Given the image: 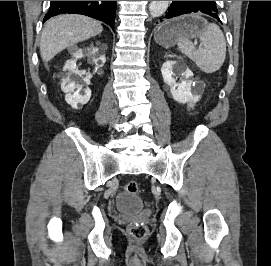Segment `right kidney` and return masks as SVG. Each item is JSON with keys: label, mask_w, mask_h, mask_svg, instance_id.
I'll return each mask as SVG.
<instances>
[{"label": "right kidney", "mask_w": 271, "mask_h": 266, "mask_svg": "<svg viewBox=\"0 0 271 266\" xmlns=\"http://www.w3.org/2000/svg\"><path fill=\"white\" fill-rule=\"evenodd\" d=\"M84 54L92 59L96 65V69L102 67L105 63V57L98 54L97 47H91L85 50L75 49L72 52L73 58L66 61L63 71H69L70 73L61 80V87L62 91L66 93L65 101L75 109L88 103L91 98V90L89 88L83 89V85L78 83L85 75L83 80L89 84L90 78L92 77L90 73H86L84 70H78L76 66L77 60L81 59ZM75 89L77 90L75 91Z\"/></svg>", "instance_id": "1"}]
</instances>
